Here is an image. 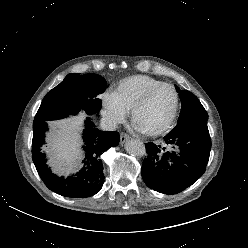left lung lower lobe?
Instances as JSON below:
<instances>
[{"label": "left lung lower lobe", "instance_id": "1", "mask_svg": "<svg viewBox=\"0 0 248 248\" xmlns=\"http://www.w3.org/2000/svg\"><path fill=\"white\" fill-rule=\"evenodd\" d=\"M145 147L141 171L145 184L160 193L177 194L206 170L211 150L207 120L178 123L162 143L150 142Z\"/></svg>", "mask_w": 248, "mask_h": 248}]
</instances>
